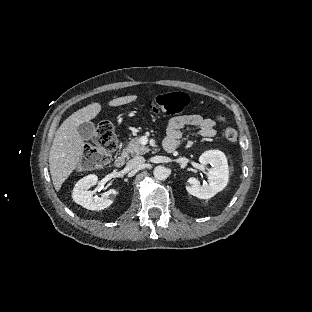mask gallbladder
I'll return each instance as SVG.
<instances>
[{
  "mask_svg": "<svg viewBox=\"0 0 312 312\" xmlns=\"http://www.w3.org/2000/svg\"><path fill=\"white\" fill-rule=\"evenodd\" d=\"M95 130V126L92 122H84L80 124L77 128V131L79 135L84 139V140H89L92 138L93 132Z\"/></svg>",
  "mask_w": 312,
  "mask_h": 312,
  "instance_id": "1",
  "label": "gallbladder"
}]
</instances>
